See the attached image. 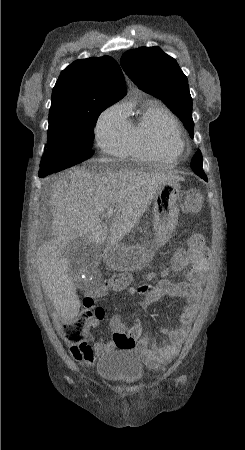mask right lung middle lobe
I'll use <instances>...</instances> for the list:
<instances>
[{"label": "right lung middle lobe", "mask_w": 245, "mask_h": 450, "mask_svg": "<svg viewBox=\"0 0 245 450\" xmlns=\"http://www.w3.org/2000/svg\"><path fill=\"white\" fill-rule=\"evenodd\" d=\"M113 103H99L84 112H61L49 116L47 151L40 174H51L91 158L94 124Z\"/></svg>", "instance_id": "right-lung-middle-lobe-1"}]
</instances>
